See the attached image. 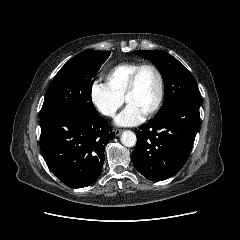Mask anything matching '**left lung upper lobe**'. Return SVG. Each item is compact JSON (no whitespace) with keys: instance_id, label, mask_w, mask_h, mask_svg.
<instances>
[{"instance_id":"1","label":"left lung upper lobe","mask_w":240,"mask_h":240,"mask_svg":"<svg viewBox=\"0 0 240 240\" xmlns=\"http://www.w3.org/2000/svg\"><path fill=\"white\" fill-rule=\"evenodd\" d=\"M134 53L151 60L162 73L165 97L158 112L180 100L194 99L201 101L196 80L176 58L161 50H137Z\"/></svg>"}]
</instances>
